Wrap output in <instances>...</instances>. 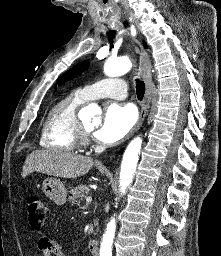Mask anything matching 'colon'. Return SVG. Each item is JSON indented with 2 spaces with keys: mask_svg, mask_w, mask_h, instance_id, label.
Instances as JSON below:
<instances>
[{
  "mask_svg": "<svg viewBox=\"0 0 221 256\" xmlns=\"http://www.w3.org/2000/svg\"><path fill=\"white\" fill-rule=\"evenodd\" d=\"M28 220L32 228L41 230L49 217V209L37 195H30L26 201Z\"/></svg>",
  "mask_w": 221,
  "mask_h": 256,
  "instance_id": "1",
  "label": "colon"
}]
</instances>
